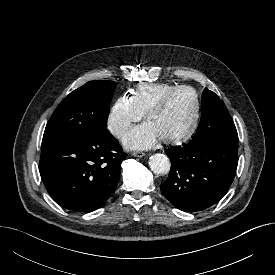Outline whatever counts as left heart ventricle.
<instances>
[{
  "mask_svg": "<svg viewBox=\"0 0 275 275\" xmlns=\"http://www.w3.org/2000/svg\"><path fill=\"white\" fill-rule=\"evenodd\" d=\"M195 110L194 95L189 90L174 93L165 107L153 114L148 122L161 139L171 138L184 133L191 124Z\"/></svg>",
  "mask_w": 275,
  "mask_h": 275,
  "instance_id": "left-heart-ventricle-1",
  "label": "left heart ventricle"
}]
</instances>
